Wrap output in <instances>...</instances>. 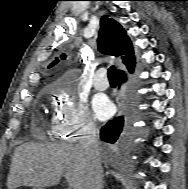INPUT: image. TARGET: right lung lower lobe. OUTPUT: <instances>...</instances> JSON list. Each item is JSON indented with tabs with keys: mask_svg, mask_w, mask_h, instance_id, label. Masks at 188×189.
I'll return each instance as SVG.
<instances>
[{
	"mask_svg": "<svg viewBox=\"0 0 188 189\" xmlns=\"http://www.w3.org/2000/svg\"><path fill=\"white\" fill-rule=\"evenodd\" d=\"M122 80H126V75H118V84L121 85ZM123 117L115 118L104 125L100 132V137L107 143H115L123 130Z\"/></svg>",
	"mask_w": 188,
	"mask_h": 189,
	"instance_id": "1",
	"label": "right lung lower lobe"
}]
</instances>
